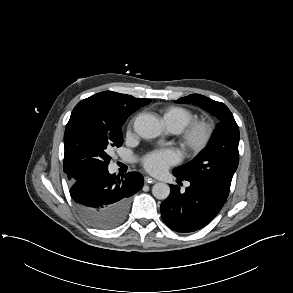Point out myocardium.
I'll return each mask as SVG.
<instances>
[{"label":"myocardium","mask_w":293,"mask_h":293,"mask_svg":"<svg viewBox=\"0 0 293 293\" xmlns=\"http://www.w3.org/2000/svg\"><path fill=\"white\" fill-rule=\"evenodd\" d=\"M214 132L213 124L205 119L190 122L180 132L181 146L190 154H198L210 143Z\"/></svg>","instance_id":"f54148a6"}]
</instances>
